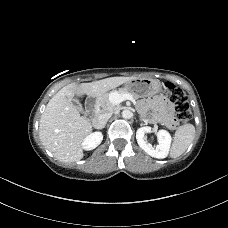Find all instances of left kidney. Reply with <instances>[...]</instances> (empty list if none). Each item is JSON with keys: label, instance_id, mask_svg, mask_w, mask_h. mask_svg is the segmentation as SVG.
<instances>
[{"label": "left kidney", "instance_id": "1", "mask_svg": "<svg viewBox=\"0 0 228 228\" xmlns=\"http://www.w3.org/2000/svg\"><path fill=\"white\" fill-rule=\"evenodd\" d=\"M151 132V127L145 126L140 127L136 132V139L138 145L151 157L163 159L167 157L170 145H171V135L166 130H159L156 132L158 144L152 146L147 142L145 138V133Z\"/></svg>", "mask_w": 228, "mask_h": 228}]
</instances>
